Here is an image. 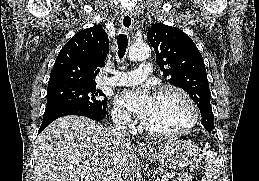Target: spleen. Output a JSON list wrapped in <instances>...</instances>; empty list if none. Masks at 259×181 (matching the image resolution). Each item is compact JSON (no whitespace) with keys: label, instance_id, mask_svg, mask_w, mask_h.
Wrapping results in <instances>:
<instances>
[{"label":"spleen","instance_id":"obj_1","mask_svg":"<svg viewBox=\"0 0 259 181\" xmlns=\"http://www.w3.org/2000/svg\"><path fill=\"white\" fill-rule=\"evenodd\" d=\"M205 181H219L220 162L214 149L207 152L205 158Z\"/></svg>","mask_w":259,"mask_h":181}]
</instances>
